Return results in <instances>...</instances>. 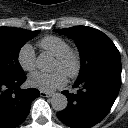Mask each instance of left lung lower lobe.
Instances as JSON below:
<instances>
[{"label": "left lung lower lobe", "mask_w": 128, "mask_h": 128, "mask_svg": "<svg viewBox=\"0 0 128 128\" xmlns=\"http://www.w3.org/2000/svg\"><path fill=\"white\" fill-rule=\"evenodd\" d=\"M121 86V67L101 66L72 87H82L77 94L62 93L68 99L67 107L57 113L60 121L71 128H90L109 113Z\"/></svg>", "instance_id": "obj_1"}]
</instances>
